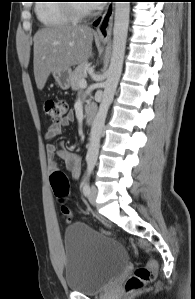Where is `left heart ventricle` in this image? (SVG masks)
Returning <instances> with one entry per match:
<instances>
[{
	"label": "left heart ventricle",
	"instance_id": "b2bd125f",
	"mask_svg": "<svg viewBox=\"0 0 195 299\" xmlns=\"http://www.w3.org/2000/svg\"><path fill=\"white\" fill-rule=\"evenodd\" d=\"M81 4V8L83 9H88V4L87 3H80Z\"/></svg>",
	"mask_w": 195,
	"mask_h": 299
}]
</instances>
